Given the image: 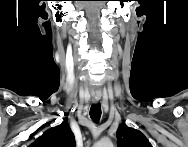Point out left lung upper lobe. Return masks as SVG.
Returning a JSON list of instances; mask_svg holds the SVG:
<instances>
[{"label": "left lung upper lobe", "instance_id": "obj_1", "mask_svg": "<svg viewBox=\"0 0 188 147\" xmlns=\"http://www.w3.org/2000/svg\"><path fill=\"white\" fill-rule=\"evenodd\" d=\"M118 147H152L147 138L134 128L121 124L116 133Z\"/></svg>", "mask_w": 188, "mask_h": 147}]
</instances>
